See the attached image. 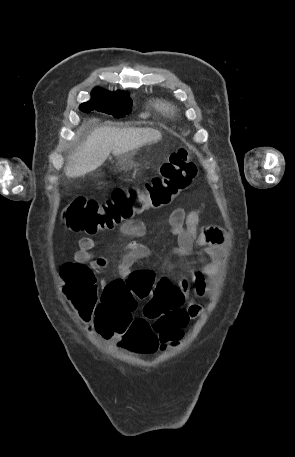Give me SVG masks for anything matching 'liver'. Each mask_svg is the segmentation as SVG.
Listing matches in <instances>:
<instances>
[{
  "label": "liver",
  "mask_w": 295,
  "mask_h": 457,
  "mask_svg": "<svg viewBox=\"0 0 295 457\" xmlns=\"http://www.w3.org/2000/svg\"><path fill=\"white\" fill-rule=\"evenodd\" d=\"M161 137V133L152 128H96L68 158L65 174L71 178L84 176L100 167L111 152L116 157L124 155Z\"/></svg>",
  "instance_id": "1"
}]
</instances>
